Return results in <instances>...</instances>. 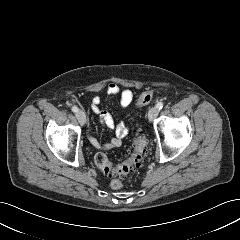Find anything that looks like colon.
<instances>
[{
  "label": "colon",
  "mask_w": 240,
  "mask_h": 240,
  "mask_svg": "<svg viewBox=\"0 0 240 240\" xmlns=\"http://www.w3.org/2000/svg\"><path fill=\"white\" fill-rule=\"evenodd\" d=\"M153 93L151 91L143 92L138 98L139 105H146L151 102ZM147 141L142 134L136 135L133 140L132 149L127 152L121 164L114 166L107 157L99 153L95 156V163L98 168L112 179L110 186L112 189H120L123 186L122 179L133 171L135 167L142 164L146 152Z\"/></svg>",
  "instance_id": "5ec220e1"
}]
</instances>
